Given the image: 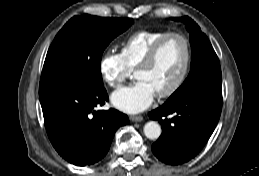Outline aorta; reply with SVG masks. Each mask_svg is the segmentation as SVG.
I'll use <instances>...</instances> for the list:
<instances>
[{"label": "aorta", "instance_id": "762f6f07", "mask_svg": "<svg viewBox=\"0 0 259 176\" xmlns=\"http://www.w3.org/2000/svg\"><path fill=\"white\" fill-rule=\"evenodd\" d=\"M144 134L148 139L155 140L161 135V126L156 121H149L144 126Z\"/></svg>", "mask_w": 259, "mask_h": 176}]
</instances>
